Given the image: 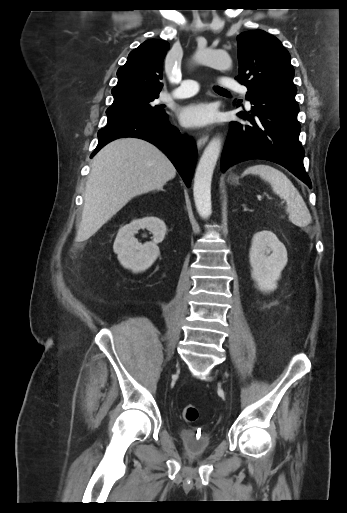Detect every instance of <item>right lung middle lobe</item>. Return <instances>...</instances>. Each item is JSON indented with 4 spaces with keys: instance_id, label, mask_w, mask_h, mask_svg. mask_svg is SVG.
<instances>
[{
    "instance_id": "right-lung-middle-lobe-1",
    "label": "right lung middle lobe",
    "mask_w": 347,
    "mask_h": 513,
    "mask_svg": "<svg viewBox=\"0 0 347 513\" xmlns=\"http://www.w3.org/2000/svg\"><path fill=\"white\" fill-rule=\"evenodd\" d=\"M159 96L128 98L113 103L106 111L108 122L125 117L140 116L158 120L165 115L163 105H156Z\"/></svg>"
}]
</instances>
